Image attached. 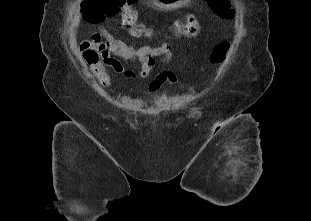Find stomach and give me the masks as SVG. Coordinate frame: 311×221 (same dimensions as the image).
<instances>
[{
  "instance_id": "1",
  "label": "stomach",
  "mask_w": 311,
  "mask_h": 221,
  "mask_svg": "<svg viewBox=\"0 0 311 221\" xmlns=\"http://www.w3.org/2000/svg\"><path fill=\"white\" fill-rule=\"evenodd\" d=\"M151 2L157 8H168L170 10V8H179V6H182L185 0H151Z\"/></svg>"
}]
</instances>
